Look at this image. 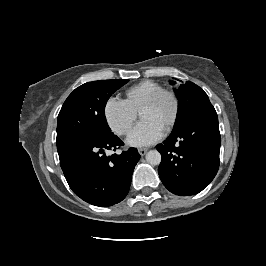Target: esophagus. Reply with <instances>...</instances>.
<instances>
[{
  "instance_id": "34e87169",
  "label": "esophagus",
  "mask_w": 266,
  "mask_h": 266,
  "mask_svg": "<svg viewBox=\"0 0 266 266\" xmlns=\"http://www.w3.org/2000/svg\"><path fill=\"white\" fill-rule=\"evenodd\" d=\"M148 149L147 148H139L138 152L141 156H144L147 153Z\"/></svg>"
}]
</instances>
